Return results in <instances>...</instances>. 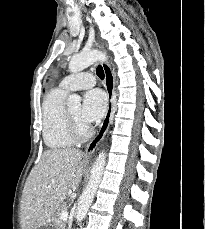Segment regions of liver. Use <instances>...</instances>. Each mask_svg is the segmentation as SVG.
I'll use <instances>...</instances> for the list:
<instances>
[{
  "instance_id": "6515ba94",
  "label": "liver",
  "mask_w": 205,
  "mask_h": 229,
  "mask_svg": "<svg viewBox=\"0 0 205 229\" xmlns=\"http://www.w3.org/2000/svg\"><path fill=\"white\" fill-rule=\"evenodd\" d=\"M83 153L75 148L43 152L31 170L22 193V229H38L50 221L71 188L84 174Z\"/></svg>"
}]
</instances>
